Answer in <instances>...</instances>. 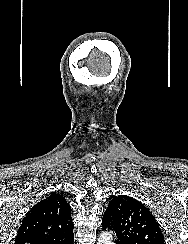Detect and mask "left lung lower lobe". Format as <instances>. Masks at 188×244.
Here are the masks:
<instances>
[{"label": "left lung lower lobe", "mask_w": 188, "mask_h": 244, "mask_svg": "<svg viewBox=\"0 0 188 244\" xmlns=\"http://www.w3.org/2000/svg\"><path fill=\"white\" fill-rule=\"evenodd\" d=\"M102 227H103V229H106V228L111 229V225H110L109 221L105 218L102 219ZM116 244H118V243H116Z\"/></svg>", "instance_id": "left-lung-lower-lobe-1"}]
</instances>
